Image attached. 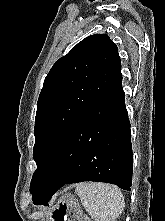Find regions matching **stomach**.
I'll list each match as a JSON object with an SVG mask.
<instances>
[{
	"mask_svg": "<svg viewBox=\"0 0 165 221\" xmlns=\"http://www.w3.org/2000/svg\"><path fill=\"white\" fill-rule=\"evenodd\" d=\"M51 217H66L52 218V221H81L80 206L72 196H63L58 204H54Z\"/></svg>",
	"mask_w": 165,
	"mask_h": 221,
	"instance_id": "1",
	"label": "stomach"
}]
</instances>
